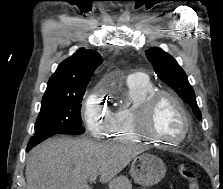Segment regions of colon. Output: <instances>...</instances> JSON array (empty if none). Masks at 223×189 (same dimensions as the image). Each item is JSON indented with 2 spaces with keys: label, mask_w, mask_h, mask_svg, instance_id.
I'll list each match as a JSON object with an SVG mask.
<instances>
[{
  "label": "colon",
  "mask_w": 223,
  "mask_h": 189,
  "mask_svg": "<svg viewBox=\"0 0 223 189\" xmlns=\"http://www.w3.org/2000/svg\"><path fill=\"white\" fill-rule=\"evenodd\" d=\"M180 174L187 181L188 189H200L199 177L193 167L189 165L182 166Z\"/></svg>",
  "instance_id": "5ec220e1"
}]
</instances>
